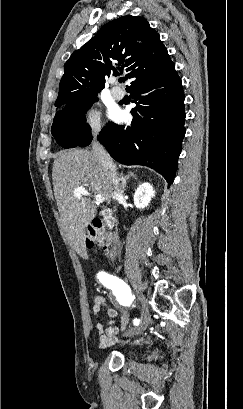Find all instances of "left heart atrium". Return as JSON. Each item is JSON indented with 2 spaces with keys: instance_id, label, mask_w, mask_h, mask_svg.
<instances>
[{
  "instance_id": "1",
  "label": "left heart atrium",
  "mask_w": 243,
  "mask_h": 409,
  "mask_svg": "<svg viewBox=\"0 0 243 409\" xmlns=\"http://www.w3.org/2000/svg\"><path fill=\"white\" fill-rule=\"evenodd\" d=\"M115 117H116V118H120L121 115H120L119 113H116V114H115Z\"/></svg>"
}]
</instances>
